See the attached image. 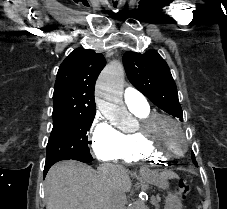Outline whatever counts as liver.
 I'll return each instance as SVG.
<instances>
[{"mask_svg":"<svg viewBox=\"0 0 227 209\" xmlns=\"http://www.w3.org/2000/svg\"><path fill=\"white\" fill-rule=\"evenodd\" d=\"M112 171L109 165L94 171L79 161L57 163L46 177V209H105Z\"/></svg>","mask_w":227,"mask_h":209,"instance_id":"1","label":"liver"}]
</instances>
